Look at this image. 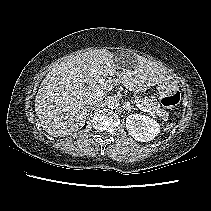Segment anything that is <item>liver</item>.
Here are the masks:
<instances>
[{
    "instance_id": "liver-1",
    "label": "liver",
    "mask_w": 211,
    "mask_h": 211,
    "mask_svg": "<svg viewBox=\"0 0 211 211\" xmlns=\"http://www.w3.org/2000/svg\"><path fill=\"white\" fill-rule=\"evenodd\" d=\"M114 75L117 78L99 83ZM171 79L164 68L144 57L136 59L133 69L122 68L110 51L92 50L62 61L46 75L35 98V112L47 133L64 137L84 126L88 97L94 93H106L120 83L133 92H143Z\"/></svg>"
}]
</instances>
